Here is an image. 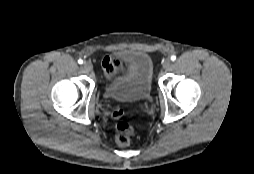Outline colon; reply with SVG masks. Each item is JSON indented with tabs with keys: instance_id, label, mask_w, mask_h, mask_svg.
Here are the masks:
<instances>
[{
	"instance_id": "obj_1",
	"label": "colon",
	"mask_w": 254,
	"mask_h": 174,
	"mask_svg": "<svg viewBox=\"0 0 254 174\" xmlns=\"http://www.w3.org/2000/svg\"><path fill=\"white\" fill-rule=\"evenodd\" d=\"M121 110L116 111V115H120ZM134 136V127L131 121L120 120L115 125V141L118 145L126 146L130 143Z\"/></svg>"
}]
</instances>
